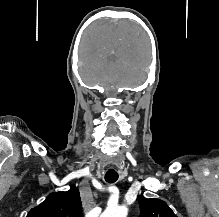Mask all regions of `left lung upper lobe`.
I'll return each mask as SVG.
<instances>
[{
	"label": "left lung upper lobe",
	"mask_w": 219,
	"mask_h": 217,
	"mask_svg": "<svg viewBox=\"0 0 219 217\" xmlns=\"http://www.w3.org/2000/svg\"><path fill=\"white\" fill-rule=\"evenodd\" d=\"M139 206L140 217H176L172 209L160 199L140 196Z\"/></svg>",
	"instance_id": "obj_1"
}]
</instances>
